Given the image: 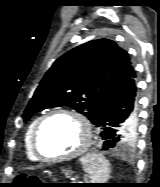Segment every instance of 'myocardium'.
<instances>
[{
    "label": "myocardium",
    "instance_id": "1",
    "mask_svg": "<svg viewBox=\"0 0 160 187\" xmlns=\"http://www.w3.org/2000/svg\"><path fill=\"white\" fill-rule=\"evenodd\" d=\"M57 115H69V116H73L76 119H78L84 128L85 138H84L83 143L77 149H75L74 151H72L68 154L57 155V156H47V155L43 154L42 151L40 150L39 136H40L41 130H42L43 126L45 125V123L49 119H51L52 117L57 116ZM92 136H93L92 125H91L89 119L83 113H81L77 110H73V109H58V110H53V111L46 113L38 120V122L33 130V134H32V148H33V151L36 154V156L41 161L48 162V163H54V162H59V161H64V160L76 158V157L82 155L83 153H85L87 151V149L89 148V146L91 145Z\"/></svg>",
    "mask_w": 160,
    "mask_h": 187
}]
</instances>
